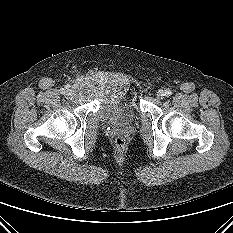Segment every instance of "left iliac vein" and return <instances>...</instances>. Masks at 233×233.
<instances>
[{"instance_id": "obj_1", "label": "left iliac vein", "mask_w": 233, "mask_h": 233, "mask_svg": "<svg viewBox=\"0 0 233 233\" xmlns=\"http://www.w3.org/2000/svg\"><path fill=\"white\" fill-rule=\"evenodd\" d=\"M158 99H163L165 96V91L164 90H158L157 94H156Z\"/></svg>"}]
</instances>
